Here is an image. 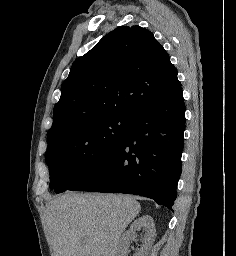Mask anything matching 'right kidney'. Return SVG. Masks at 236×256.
<instances>
[{
	"mask_svg": "<svg viewBox=\"0 0 236 256\" xmlns=\"http://www.w3.org/2000/svg\"><path fill=\"white\" fill-rule=\"evenodd\" d=\"M141 228H144L145 236L141 248H138L134 256H148L149 250H151L154 244V236L156 234L155 224L151 216H142V218L134 220L128 232L120 238L118 248L119 256H127L128 246L131 240H135L136 232H139Z\"/></svg>",
	"mask_w": 236,
	"mask_h": 256,
	"instance_id": "1",
	"label": "right kidney"
}]
</instances>
